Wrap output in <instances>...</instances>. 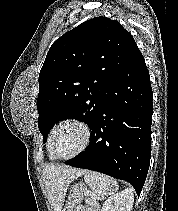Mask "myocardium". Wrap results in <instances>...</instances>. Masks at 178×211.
I'll return each instance as SVG.
<instances>
[{
    "label": "myocardium",
    "mask_w": 178,
    "mask_h": 211,
    "mask_svg": "<svg viewBox=\"0 0 178 211\" xmlns=\"http://www.w3.org/2000/svg\"><path fill=\"white\" fill-rule=\"evenodd\" d=\"M66 125L78 126L83 132V142H82L80 148L73 154L68 155V156H60L59 154H57L56 149H55V139H56V135H57L58 131ZM90 141H91V129L86 122H84L83 120H80V119H76V118L66 119L57 125V127L55 128V130L52 134L51 151L56 159L68 160V159H71V158L76 157V156L80 155L81 153H83L88 148Z\"/></svg>",
    "instance_id": "1"
}]
</instances>
